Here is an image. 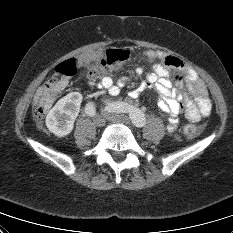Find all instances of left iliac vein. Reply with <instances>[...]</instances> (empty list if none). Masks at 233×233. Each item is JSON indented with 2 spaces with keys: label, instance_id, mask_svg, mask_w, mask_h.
<instances>
[{
  "label": "left iliac vein",
  "instance_id": "4c4485c4",
  "mask_svg": "<svg viewBox=\"0 0 233 233\" xmlns=\"http://www.w3.org/2000/svg\"><path fill=\"white\" fill-rule=\"evenodd\" d=\"M104 117L111 122H117V123H124V124H129L130 120L128 116L124 114H115L110 111H108L106 108L105 110L102 111Z\"/></svg>",
  "mask_w": 233,
  "mask_h": 233
}]
</instances>
